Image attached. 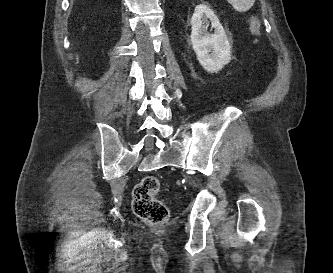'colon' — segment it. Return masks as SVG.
Returning <instances> with one entry per match:
<instances>
[{"label":"colon","mask_w":333,"mask_h":273,"mask_svg":"<svg viewBox=\"0 0 333 273\" xmlns=\"http://www.w3.org/2000/svg\"><path fill=\"white\" fill-rule=\"evenodd\" d=\"M250 30L255 36H260L261 23L257 18L251 19ZM159 188V179L149 175L144 177L133 190L132 208L134 213L151 225L164 224L169 217L167 206L156 197Z\"/></svg>","instance_id":"colon-1"}]
</instances>
